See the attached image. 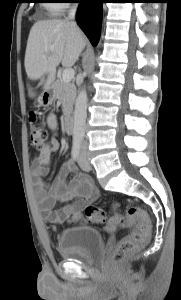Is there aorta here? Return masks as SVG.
<instances>
[{"mask_svg": "<svg viewBox=\"0 0 181 300\" xmlns=\"http://www.w3.org/2000/svg\"><path fill=\"white\" fill-rule=\"evenodd\" d=\"M87 117V90L83 87L76 98L74 110L73 138L83 139L85 135V124Z\"/></svg>", "mask_w": 181, "mask_h": 300, "instance_id": "aorta-1", "label": "aorta"}]
</instances>
